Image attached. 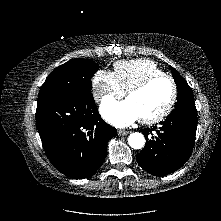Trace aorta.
Wrapping results in <instances>:
<instances>
[{
	"label": "aorta",
	"mask_w": 221,
	"mask_h": 221,
	"mask_svg": "<svg viewBox=\"0 0 221 221\" xmlns=\"http://www.w3.org/2000/svg\"><path fill=\"white\" fill-rule=\"evenodd\" d=\"M128 143L133 149H141L145 145V138L139 132L131 133L128 137Z\"/></svg>",
	"instance_id": "obj_1"
}]
</instances>
